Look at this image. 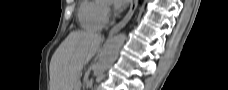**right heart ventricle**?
I'll use <instances>...</instances> for the list:
<instances>
[{
    "label": "right heart ventricle",
    "mask_w": 228,
    "mask_h": 90,
    "mask_svg": "<svg viewBox=\"0 0 228 90\" xmlns=\"http://www.w3.org/2000/svg\"><path fill=\"white\" fill-rule=\"evenodd\" d=\"M100 1L85 0L81 3L78 18L82 27L89 30H100L104 23L99 17Z\"/></svg>",
    "instance_id": "1"
}]
</instances>
